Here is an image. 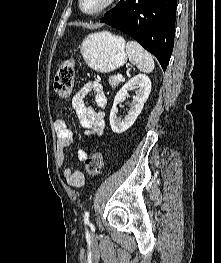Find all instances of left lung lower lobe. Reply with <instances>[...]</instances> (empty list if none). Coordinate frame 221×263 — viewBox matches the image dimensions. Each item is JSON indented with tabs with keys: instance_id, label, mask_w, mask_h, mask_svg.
<instances>
[{
	"instance_id": "obj_1",
	"label": "left lung lower lobe",
	"mask_w": 221,
	"mask_h": 263,
	"mask_svg": "<svg viewBox=\"0 0 221 263\" xmlns=\"http://www.w3.org/2000/svg\"><path fill=\"white\" fill-rule=\"evenodd\" d=\"M176 7L177 0H121L100 22L138 41L165 71L174 45Z\"/></svg>"
}]
</instances>
